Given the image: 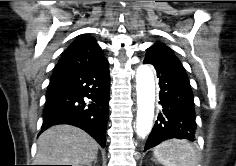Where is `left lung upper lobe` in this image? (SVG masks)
I'll use <instances>...</instances> for the list:
<instances>
[{
	"label": "left lung upper lobe",
	"mask_w": 236,
	"mask_h": 166,
	"mask_svg": "<svg viewBox=\"0 0 236 166\" xmlns=\"http://www.w3.org/2000/svg\"><path fill=\"white\" fill-rule=\"evenodd\" d=\"M166 57L176 58L169 47L165 46L163 43L158 42L147 49L145 59L157 60Z\"/></svg>",
	"instance_id": "1"
}]
</instances>
